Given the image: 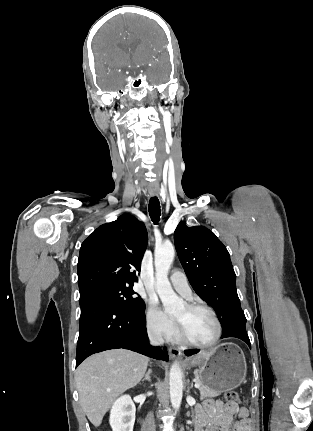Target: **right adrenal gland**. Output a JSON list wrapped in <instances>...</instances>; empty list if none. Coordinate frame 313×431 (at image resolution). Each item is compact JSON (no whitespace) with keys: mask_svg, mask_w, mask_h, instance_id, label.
I'll list each match as a JSON object with an SVG mask.
<instances>
[{"mask_svg":"<svg viewBox=\"0 0 313 431\" xmlns=\"http://www.w3.org/2000/svg\"><path fill=\"white\" fill-rule=\"evenodd\" d=\"M151 373H152V370H151V369H148V370H147V372L145 373L144 378H143L141 381H142V382H144V381H149V382H151Z\"/></svg>","mask_w":313,"mask_h":431,"instance_id":"2a0ac1e0","label":"right adrenal gland"}]
</instances>
